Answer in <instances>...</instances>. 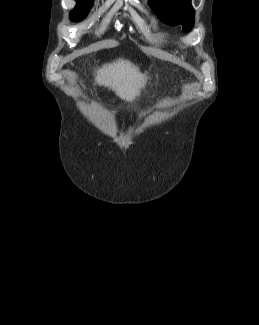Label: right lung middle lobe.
I'll return each mask as SVG.
<instances>
[{
    "instance_id": "1",
    "label": "right lung middle lobe",
    "mask_w": 259,
    "mask_h": 325,
    "mask_svg": "<svg viewBox=\"0 0 259 325\" xmlns=\"http://www.w3.org/2000/svg\"><path fill=\"white\" fill-rule=\"evenodd\" d=\"M78 4L71 11L70 18L74 21L82 20L88 13L93 0H77Z\"/></svg>"
}]
</instances>
